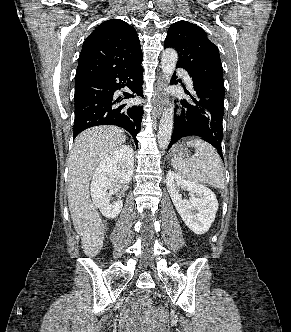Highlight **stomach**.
Masks as SVG:
<instances>
[{
  "instance_id": "0dacf381",
  "label": "stomach",
  "mask_w": 291,
  "mask_h": 332,
  "mask_svg": "<svg viewBox=\"0 0 291 332\" xmlns=\"http://www.w3.org/2000/svg\"><path fill=\"white\" fill-rule=\"evenodd\" d=\"M171 156H172V160L173 159H178V160L183 159L184 160V159L189 158L187 148L183 144L176 145L172 150Z\"/></svg>"
}]
</instances>
